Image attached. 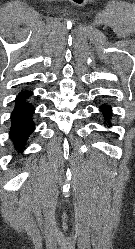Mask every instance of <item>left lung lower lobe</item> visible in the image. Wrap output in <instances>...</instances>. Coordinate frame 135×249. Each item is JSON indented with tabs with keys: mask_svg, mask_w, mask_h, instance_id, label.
I'll return each mask as SVG.
<instances>
[{
	"mask_svg": "<svg viewBox=\"0 0 135 249\" xmlns=\"http://www.w3.org/2000/svg\"><path fill=\"white\" fill-rule=\"evenodd\" d=\"M99 109L104 118V125L112 126L110 122L113 116L111 105L104 103L99 107Z\"/></svg>",
	"mask_w": 135,
	"mask_h": 249,
	"instance_id": "0a47b994",
	"label": "left lung lower lobe"
}]
</instances>
